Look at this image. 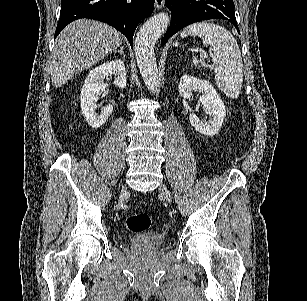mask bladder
Segmentation results:
<instances>
[{"mask_svg":"<svg viewBox=\"0 0 307 301\" xmlns=\"http://www.w3.org/2000/svg\"><path fill=\"white\" fill-rule=\"evenodd\" d=\"M129 243L134 244L135 246H154V245H162L165 243V235L161 232L155 231H146L142 233L136 234L132 238H126Z\"/></svg>","mask_w":307,"mask_h":301,"instance_id":"obj_1","label":"bladder"}]
</instances>
